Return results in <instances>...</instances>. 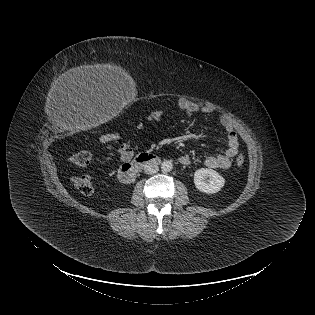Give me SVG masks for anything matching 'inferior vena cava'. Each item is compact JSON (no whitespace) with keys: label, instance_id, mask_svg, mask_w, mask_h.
Masks as SVG:
<instances>
[{"label":"inferior vena cava","instance_id":"obj_1","mask_svg":"<svg viewBox=\"0 0 315 315\" xmlns=\"http://www.w3.org/2000/svg\"><path fill=\"white\" fill-rule=\"evenodd\" d=\"M158 170H159L158 165L153 161L147 162L144 165V172L146 174H155L158 172Z\"/></svg>","mask_w":315,"mask_h":315}]
</instances>
